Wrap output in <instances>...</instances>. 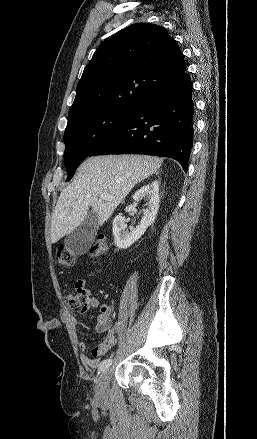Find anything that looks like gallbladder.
<instances>
[{"label":"gallbladder","instance_id":"gallbladder-1","mask_svg":"<svg viewBox=\"0 0 257 439\" xmlns=\"http://www.w3.org/2000/svg\"><path fill=\"white\" fill-rule=\"evenodd\" d=\"M98 229V218L90 212L84 221L65 238V247L77 255L85 254L91 247Z\"/></svg>","mask_w":257,"mask_h":439}]
</instances>
